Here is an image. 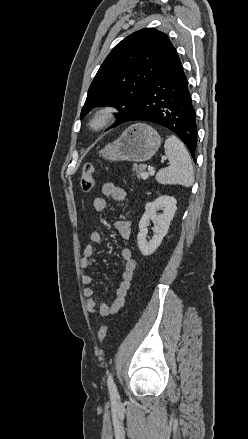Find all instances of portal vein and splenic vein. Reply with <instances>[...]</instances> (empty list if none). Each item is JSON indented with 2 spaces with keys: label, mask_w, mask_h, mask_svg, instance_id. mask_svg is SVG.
<instances>
[{
  "label": "portal vein and splenic vein",
  "mask_w": 248,
  "mask_h": 439,
  "mask_svg": "<svg viewBox=\"0 0 248 439\" xmlns=\"http://www.w3.org/2000/svg\"><path fill=\"white\" fill-rule=\"evenodd\" d=\"M154 173H155V169L152 166H148V173H144L142 179L146 180L149 174L154 175Z\"/></svg>",
  "instance_id": "obj_1"
}]
</instances>
